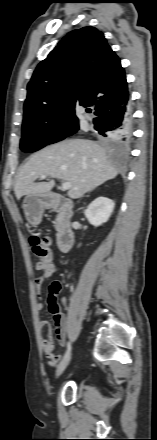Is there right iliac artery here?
Wrapping results in <instances>:
<instances>
[{"mask_svg":"<svg viewBox=\"0 0 157 440\" xmlns=\"http://www.w3.org/2000/svg\"><path fill=\"white\" fill-rule=\"evenodd\" d=\"M70 351H71V345H70V343H68L67 344V350H66V352H65V354L63 356V360L70 354Z\"/></svg>","mask_w":157,"mask_h":440,"instance_id":"right-iliac-artery-1","label":"right iliac artery"}]
</instances>
